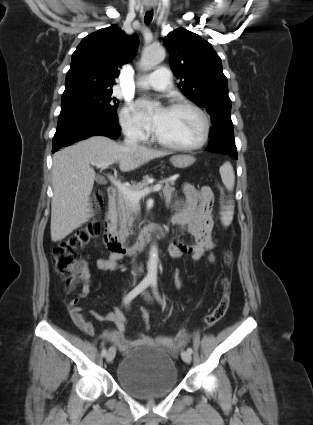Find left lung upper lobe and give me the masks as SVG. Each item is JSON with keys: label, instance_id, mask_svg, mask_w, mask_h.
<instances>
[{"label": "left lung upper lobe", "instance_id": "5c2ea615", "mask_svg": "<svg viewBox=\"0 0 313 425\" xmlns=\"http://www.w3.org/2000/svg\"><path fill=\"white\" fill-rule=\"evenodd\" d=\"M164 45L182 93L207 110L213 127L233 125L227 78L212 45L184 28L170 32L164 38Z\"/></svg>", "mask_w": 313, "mask_h": 425}]
</instances>
